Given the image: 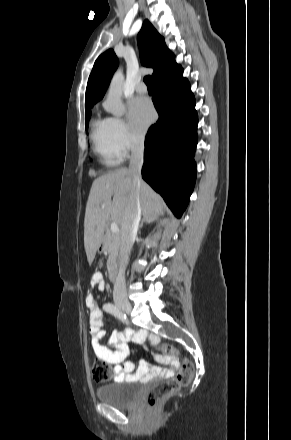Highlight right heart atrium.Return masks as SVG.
I'll use <instances>...</instances> for the list:
<instances>
[{"label": "right heart atrium", "mask_w": 291, "mask_h": 440, "mask_svg": "<svg viewBox=\"0 0 291 440\" xmlns=\"http://www.w3.org/2000/svg\"><path fill=\"white\" fill-rule=\"evenodd\" d=\"M110 131L115 149L121 156H126L142 142V136L136 134L129 124L120 117H111Z\"/></svg>", "instance_id": "d8ad5b80"}]
</instances>
